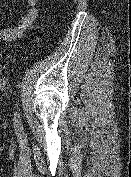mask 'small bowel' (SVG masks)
Here are the masks:
<instances>
[{
  "mask_svg": "<svg viewBox=\"0 0 131 177\" xmlns=\"http://www.w3.org/2000/svg\"><path fill=\"white\" fill-rule=\"evenodd\" d=\"M28 7L26 13L17 24L10 27L0 28V40L15 41L24 36L25 32L32 29L38 16L36 8L37 0H25Z\"/></svg>",
  "mask_w": 131,
  "mask_h": 177,
  "instance_id": "1",
  "label": "small bowel"
}]
</instances>
